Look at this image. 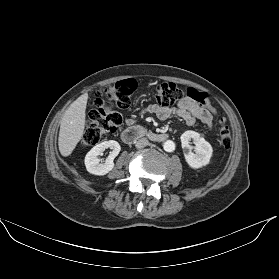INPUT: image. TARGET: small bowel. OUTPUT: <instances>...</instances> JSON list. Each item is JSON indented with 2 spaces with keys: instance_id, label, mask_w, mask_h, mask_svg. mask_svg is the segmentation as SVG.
I'll return each instance as SVG.
<instances>
[{
  "instance_id": "small-bowel-1",
  "label": "small bowel",
  "mask_w": 279,
  "mask_h": 279,
  "mask_svg": "<svg viewBox=\"0 0 279 279\" xmlns=\"http://www.w3.org/2000/svg\"><path fill=\"white\" fill-rule=\"evenodd\" d=\"M155 114L159 119L165 120L170 117H179L183 119L188 125H193L197 120L203 122L207 127L213 129L212 111L201 106L190 97H185L178 102L177 106L161 107L158 105H150L145 111ZM132 119H126V124L131 125Z\"/></svg>"
}]
</instances>
